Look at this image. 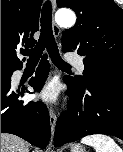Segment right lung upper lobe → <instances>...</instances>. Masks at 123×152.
Segmentation results:
<instances>
[{"instance_id": "1", "label": "right lung upper lobe", "mask_w": 123, "mask_h": 152, "mask_svg": "<svg viewBox=\"0 0 123 152\" xmlns=\"http://www.w3.org/2000/svg\"><path fill=\"white\" fill-rule=\"evenodd\" d=\"M41 4L42 0H1V69L22 68L16 50L35 45Z\"/></svg>"}]
</instances>
